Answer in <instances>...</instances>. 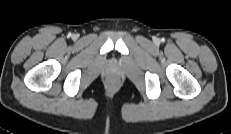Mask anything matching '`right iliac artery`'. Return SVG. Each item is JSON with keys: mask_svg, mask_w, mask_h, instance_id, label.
I'll list each match as a JSON object with an SVG mask.
<instances>
[{"mask_svg": "<svg viewBox=\"0 0 231 134\" xmlns=\"http://www.w3.org/2000/svg\"><path fill=\"white\" fill-rule=\"evenodd\" d=\"M68 36L70 37V36H71V33H69Z\"/></svg>", "mask_w": 231, "mask_h": 134, "instance_id": "obj_1", "label": "right iliac artery"}]
</instances>
